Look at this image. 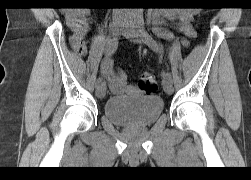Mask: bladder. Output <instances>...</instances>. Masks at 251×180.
<instances>
[{"label": "bladder", "instance_id": "1", "mask_svg": "<svg viewBox=\"0 0 251 180\" xmlns=\"http://www.w3.org/2000/svg\"><path fill=\"white\" fill-rule=\"evenodd\" d=\"M164 101L157 95L109 97L103 108L104 116L120 126L141 127L155 123L163 113Z\"/></svg>", "mask_w": 251, "mask_h": 180}]
</instances>
